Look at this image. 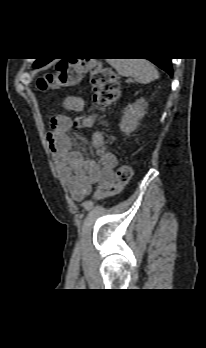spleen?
Returning a JSON list of instances; mask_svg holds the SVG:
<instances>
[{"label":"spleen","instance_id":"3e777b00","mask_svg":"<svg viewBox=\"0 0 206 348\" xmlns=\"http://www.w3.org/2000/svg\"><path fill=\"white\" fill-rule=\"evenodd\" d=\"M108 63L125 77H133L138 83L146 84L159 78L155 66L146 59H108Z\"/></svg>","mask_w":206,"mask_h":348}]
</instances>
